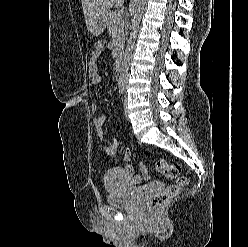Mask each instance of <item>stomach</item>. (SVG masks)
<instances>
[{"mask_svg": "<svg viewBox=\"0 0 248 247\" xmlns=\"http://www.w3.org/2000/svg\"><path fill=\"white\" fill-rule=\"evenodd\" d=\"M106 27V13L102 15L91 27L90 32L93 36L103 33Z\"/></svg>", "mask_w": 248, "mask_h": 247, "instance_id": "1", "label": "stomach"}]
</instances>
